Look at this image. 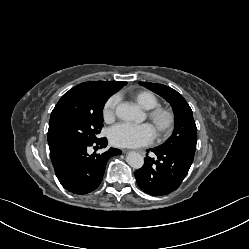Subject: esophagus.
Instances as JSON below:
<instances>
[{
    "instance_id": "1",
    "label": "esophagus",
    "mask_w": 249,
    "mask_h": 249,
    "mask_svg": "<svg viewBox=\"0 0 249 249\" xmlns=\"http://www.w3.org/2000/svg\"><path fill=\"white\" fill-rule=\"evenodd\" d=\"M124 152H126V150H124ZM139 153H141V154H144V152H142V151H138Z\"/></svg>"
}]
</instances>
